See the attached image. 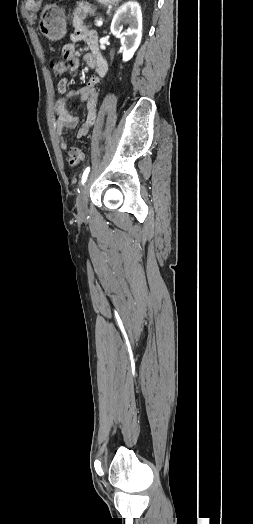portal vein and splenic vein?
Listing matches in <instances>:
<instances>
[{
    "label": "portal vein and splenic vein",
    "instance_id": "portal-vein-and-splenic-vein-1",
    "mask_svg": "<svg viewBox=\"0 0 253 524\" xmlns=\"http://www.w3.org/2000/svg\"><path fill=\"white\" fill-rule=\"evenodd\" d=\"M102 24H103V21H102V20H98V21H96V26H102Z\"/></svg>",
    "mask_w": 253,
    "mask_h": 524
}]
</instances>
